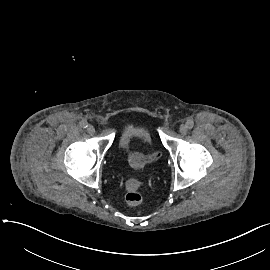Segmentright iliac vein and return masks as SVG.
<instances>
[{"instance_id": "63e3f726", "label": "right iliac vein", "mask_w": 270, "mask_h": 270, "mask_svg": "<svg viewBox=\"0 0 270 270\" xmlns=\"http://www.w3.org/2000/svg\"><path fill=\"white\" fill-rule=\"evenodd\" d=\"M87 132L89 134H93L95 132V128L93 125H89L88 128H87Z\"/></svg>"}]
</instances>
